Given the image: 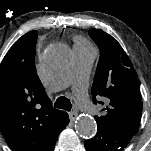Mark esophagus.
Here are the masks:
<instances>
[{"instance_id": "obj_1", "label": "esophagus", "mask_w": 151, "mask_h": 151, "mask_svg": "<svg viewBox=\"0 0 151 151\" xmlns=\"http://www.w3.org/2000/svg\"><path fill=\"white\" fill-rule=\"evenodd\" d=\"M69 117H70L71 121H74L77 117V112H75V111L70 112Z\"/></svg>"}]
</instances>
